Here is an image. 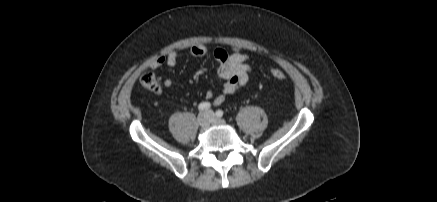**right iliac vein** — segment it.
I'll use <instances>...</instances> for the list:
<instances>
[{"mask_svg": "<svg viewBox=\"0 0 437 202\" xmlns=\"http://www.w3.org/2000/svg\"><path fill=\"white\" fill-rule=\"evenodd\" d=\"M197 121L198 124L203 128H207L211 122L210 117L205 112H202L198 115Z\"/></svg>", "mask_w": 437, "mask_h": 202, "instance_id": "right-iliac-vein-1", "label": "right iliac vein"}]
</instances>
